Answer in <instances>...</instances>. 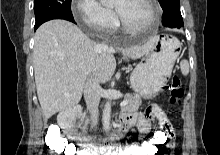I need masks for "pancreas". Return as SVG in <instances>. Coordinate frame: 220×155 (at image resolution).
<instances>
[{"label":"pancreas","instance_id":"1","mask_svg":"<svg viewBox=\"0 0 220 155\" xmlns=\"http://www.w3.org/2000/svg\"><path fill=\"white\" fill-rule=\"evenodd\" d=\"M125 100L128 101V104L124 107H122L123 111H130V112H135L138 111L141 102H142V98L140 95H127L125 97Z\"/></svg>","mask_w":220,"mask_h":155}]
</instances>
